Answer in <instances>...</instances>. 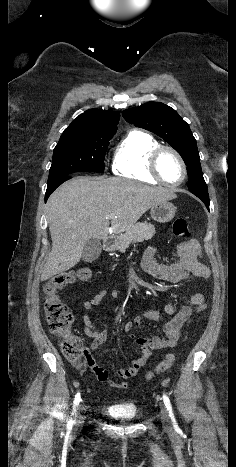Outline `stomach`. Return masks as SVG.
Instances as JSON below:
<instances>
[{
	"mask_svg": "<svg viewBox=\"0 0 236 467\" xmlns=\"http://www.w3.org/2000/svg\"><path fill=\"white\" fill-rule=\"evenodd\" d=\"M176 213V207L169 201L159 202L151 207V217L159 223L171 221Z\"/></svg>",
	"mask_w": 236,
	"mask_h": 467,
	"instance_id": "stomach-1",
	"label": "stomach"
}]
</instances>
